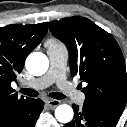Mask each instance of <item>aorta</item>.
<instances>
[{
	"mask_svg": "<svg viewBox=\"0 0 127 127\" xmlns=\"http://www.w3.org/2000/svg\"><path fill=\"white\" fill-rule=\"evenodd\" d=\"M27 71L34 76L43 75L49 67L47 56L41 52H32L26 59ZM74 112L71 106L61 104L55 109V117L61 123H68L73 119Z\"/></svg>",
	"mask_w": 127,
	"mask_h": 127,
	"instance_id": "762f6f07",
	"label": "aorta"
}]
</instances>
